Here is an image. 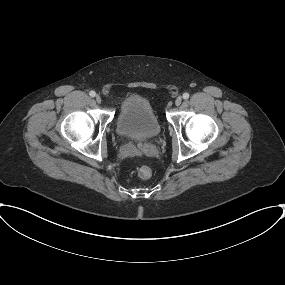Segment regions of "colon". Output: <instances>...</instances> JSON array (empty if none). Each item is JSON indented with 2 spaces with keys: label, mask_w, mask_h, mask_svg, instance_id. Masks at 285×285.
<instances>
[{
  "label": "colon",
  "mask_w": 285,
  "mask_h": 285,
  "mask_svg": "<svg viewBox=\"0 0 285 285\" xmlns=\"http://www.w3.org/2000/svg\"><path fill=\"white\" fill-rule=\"evenodd\" d=\"M151 173V169L147 165H142L137 170V174L141 179H148Z\"/></svg>",
  "instance_id": "colon-1"
}]
</instances>
